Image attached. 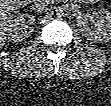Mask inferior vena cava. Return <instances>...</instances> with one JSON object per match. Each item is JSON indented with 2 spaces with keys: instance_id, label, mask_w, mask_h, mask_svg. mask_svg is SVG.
<instances>
[{
  "instance_id": "602c4592",
  "label": "inferior vena cava",
  "mask_w": 111,
  "mask_h": 106,
  "mask_svg": "<svg viewBox=\"0 0 111 106\" xmlns=\"http://www.w3.org/2000/svg\"><path fill=\"white\" fill-rule=\"evenodd\" d=\"M46 6H47V1L35 0L32 9L37 13L47 12L48 8Z\"/></svg>"
}]
</instances>
